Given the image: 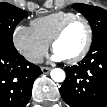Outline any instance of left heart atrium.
I'll list each match as a JSON object with an SVG mask.
<instances>
[{
  "label": "left heart atrium",
  "instance_id": "obj_1",
  "mask_svg": "<svg viewBox=\"0 0 107 107\" xmlns=\"http://www.w3.org/2000/svg\"><path fill=\"white\" fill-rule=\"evenodd\" d=\"M52 60L54 61H62L64 60V58L58 54L57 52L54 51L53 55H52Z\"/></svg>",
  "mask_w": 107,
  "mask_h": 107
}]
</instances>
